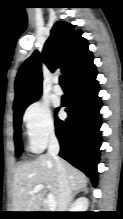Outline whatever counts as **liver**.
I'll return each mask as SVG.
<instances>
[{
  "label": "liver",
  "mask_w": 123,
  "mask_h": 219,
  "mask_svg": "<svg viewBox=\"0 0 123 219\" xmlns=\"http://www.w3.org/2000/svg\"><path fill=\"white\" fill-rule=\"evenodd\" d=\"M64 164L71 191L86 187L88 178L84 173L73 167L65 160ZM46 185L56 204L59 195V179L54 158L49 154H42L34 161L18 166L14 173L13 210L14 212H38L43 203L45 193L40 190L29 194L35 186Z\"/></svg>",
  "instance_id": "obj_1"
}]
</instances>
